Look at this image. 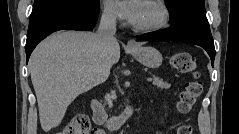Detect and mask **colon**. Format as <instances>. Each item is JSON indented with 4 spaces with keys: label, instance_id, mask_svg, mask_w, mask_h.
Returning a JSON list of instances; mask_svg holds the SVG:
<instances>
[{
    "label": "colon",
    "instance_id": "obj_1",
    "mask_svg": "<svg viewBox=\"0 0 239 134\" xmlns=\"http://www.w3.org/2000/svg\"><path fill=\"white\" fill-rule=\"evenodd\" d=\"M172 66L179 72L190 74L193 80L189 81L183 91L180 93L177 102V111L181 115H187L191 112L198 98L203 91V83L199 79L197 64L191 55L180 52L171 57ZM99 133L93 130L89 118L84 114H77L72 118L69 124L60 132V134H90ZM177 134H192V128L189 125L181 124L177 127Z\"/></svg>",
    "mask_w": 239,
    "mask_h": 134
}]
</instances>
